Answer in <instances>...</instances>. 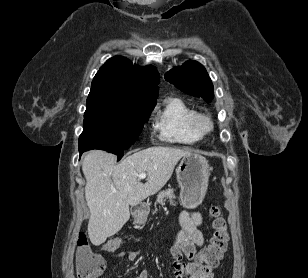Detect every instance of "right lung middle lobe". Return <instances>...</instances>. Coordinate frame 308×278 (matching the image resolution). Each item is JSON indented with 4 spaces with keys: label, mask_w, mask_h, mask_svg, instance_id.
<instances>
[{
    "label": "right lung middle lobe",
    "mask_w": 308,
    "mask_h": 278,
    "mask_svg": "<svg viewBox=\"0 0 308 278\" xmlns=\"http://www.w3.org/2000/svg\"><path fill=\"white\" fill-rule=\"evenodd\" d=\"M155 102L129 114L85 117L79 137V151L102 149L123 156L137 139L154 109Z\"/></svg>",
    "instance_id": "1"
}]
</instances>
